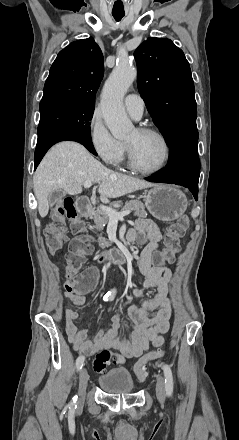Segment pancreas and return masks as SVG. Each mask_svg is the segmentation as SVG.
I'll list each match as a JSON object with an SVG mask.
<instances>
[{"instance_id": "cf45deb5", "label": "pancreas", "mask_w": 239, "mask_h": 440, "mask_svg": "<svg viewBox=\"0 0 239 440\" xmlns=\"http://www.w3.org/2000/svg\"><path fill=\"white\" fill-rule=\"evenodd\" d=\"M113 208H116L115 212H117V204L114 202ZM125 210H134L133 216H138V218H147V212L145 210L144 204L139 202V200H130V202H125V206H123L121 212H125ZM93 220L96 230H104L105 224L109 222V216L105 214L104 210H100V208H94V212H92ZM98 244L100 248H106V246H110V242H107L106 238H102L101 234L98 236Z\"/></svg>"}]
</instances>
